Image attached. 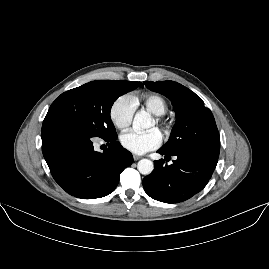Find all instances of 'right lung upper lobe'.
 Listing matches in <instances>:
<instances>
[{
  "label": "right lung upper lobe",
  "mask_w": 269,
  "mask_h": 269,
  "mask_svg": "<svg viewBox=\"0 0 269 269\" xmlns=\"http://www.w3.org/2000/svg\"><path fill=\"white\" fill-rule=\"evenodd\" d=\"M102 83L108 84V85H125L129 83H134V82H129V81H112V80H98ZM142 85L141 82H136ZM143 86V85H142Z\"/></svg>",
  "instance_id": "obj_1"
}]
</instances>
